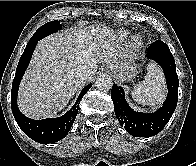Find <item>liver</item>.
I'll return each instance as SVG.
<instances>
[{"mask_svg":"<svg viewBox=\"0 0 196 166\" xmlns=\"http://www.w3.org/2000/svg\"><path fill=\"white\" fill-rule=\"evenodd\" d=\"M128 54L120 48L114 32L105 26H85L50 35L38 42L18 92L20 111L33 119L61 111L83 81L78 68L94 78L98 64L114 69Z\"/></svg>","mask_w":196,"mask_h":166,"instance_id":"liver-1","label":"liver"}]
</instances>
